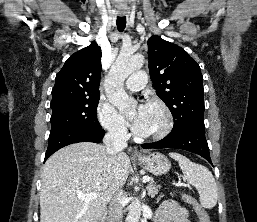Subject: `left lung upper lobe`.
Returning <instances> with one entry per match:
<instances>
[{"label": "left lung upper lobe", "mask_w": 257, "mask_h": 222, "mask_svg": "<svg viewBox=\"0 0 257 222\" xmlns=\"http://www.w3.org/2000/svg\"><path fill=\"white\" fill-rule=\"evenodd\" d=\"M149 73L156 93L171 111L173 130L204 126L203 77L181 47L153 35L148 40Z\"/></svg>", "instance_id": "1"}]
</instances>
